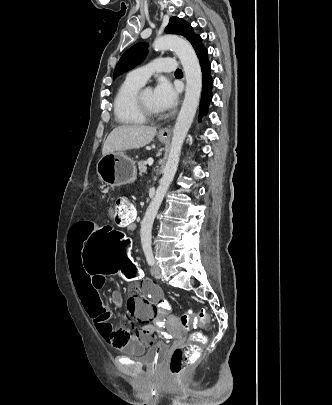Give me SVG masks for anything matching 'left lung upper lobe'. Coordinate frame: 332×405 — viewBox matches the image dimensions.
Here are the masks:
<instances>
[{
  "instance_id": "left-lung-upper-lobe-1",
  "label": "left lung upper lobe",
  "mask_w": 332,
  "mask_h": 405,
  "mask_svg": "<svg viewBox=\"0 0 332 405\" xmlns=\"http://www.w3.org/2000/svg\"><path fill=\"white\" fill-rule=\"evenodd\" d=\"M166 33L182 35L190 41L193 48L197 52L203 47L202 39L199 35L193 32L192 27L182 19L177 17L170 18V21L165 28ZM147 54V44L138 43L130 47L120 58L115 71L114 77L134 68L141 63Z\"/></svg>"
}]
</instances>
